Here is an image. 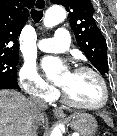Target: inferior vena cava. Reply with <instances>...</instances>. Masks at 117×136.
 <instances>
[{
    "label": "inferior vena cava",
    "mask_w": 117,
    "mask_h": 136,
    "mask_svg": "<svg viewBox=\"0 0 117 136\" xmlns=\"http://www.w3.org/2000/svg\"><path fill=\"white\" fill-rule=\"evenodd\" d=\"M31 102L34 106V109H32V113L30 114V125H29V136H36V126L38 121V114L42 110L47 109V104L45 101L38 97H33L31 99Z\"/></svg>",
    "instance_id": "1"
}]
</instances>
